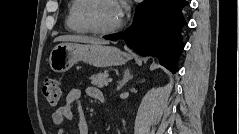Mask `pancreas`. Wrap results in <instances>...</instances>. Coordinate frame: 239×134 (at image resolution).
<instances>
[{
	"label": "pancreas",
	"mask_w": 239,
	"mask_h": 134,
	"mask_svg": "<svg viewBox=\"0 0 239 134\" xmlns=\"http://www.w3.org/2000/svg\"><path fill=\"white\" fill-rule=\"evenodd\" d=\"M90 80L92 85L102 88L108 85V73L106 71L99 72L95 75H92Z\"/></svg>",
	"instance_id": "obj_1"
}]
</instances>
